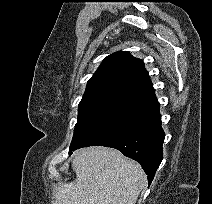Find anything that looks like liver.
Here are the masks:
<instances>
[{"mask_svg":"<svg viewBox=\"0 0 212 204\" xmlns=\"http://www.w3.org/2000/svg\"><path fill=\"white\" fill-rule=\"evenodd\" d=\"M72 169L76 179L56 187L52 204H136L147 184L142 167L113 148L76 151Z\"/></svg>","mask_w":212,"mask_h":204,"instance_id":"liver-1","label":"liver"}]
</instances>
